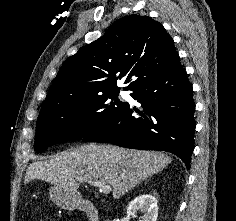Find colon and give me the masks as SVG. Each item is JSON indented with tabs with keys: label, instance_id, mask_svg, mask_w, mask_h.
I'll return each mask as SVG.
<instances>
[{
	"label": "colon",
	"instance_id": "1",
	"mask_svg": "<svg viewBox=\"0 0 236 221\" xmlns=\"http://www.w3.org/2000/svg\"><path fill=\"white\" fill-rule=\"evenodd\" d=\"M40 221H52V220L49 219V220H40Z\"/></svg>",
	"mask_w": 236,
	"mask_h": 221
}]
</instances>
